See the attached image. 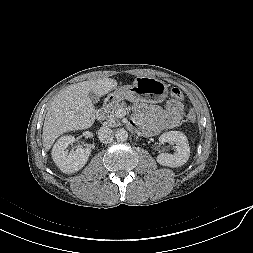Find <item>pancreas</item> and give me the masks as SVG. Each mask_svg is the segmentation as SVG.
Instances as JSON below:
<instances>
[{"label":"pancreas","mask_w":253,"mask_h":253,"mask_svg":"<svg viewBox=\"0 0 253 253\" xmlns=\"http://www.w3.org/2000/svg\"><path fill=\"white\" fill-rule=\"evenodd\" d=\"M124 107H126V103L124 101L116 102L113 105L107 106L101 110L100 119L104 121V124L107 126H118L120 125V116L118 115V111Z\"/></svg>","instance_id":"obj_1"}]
</instances>
